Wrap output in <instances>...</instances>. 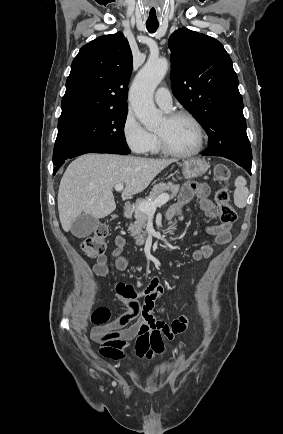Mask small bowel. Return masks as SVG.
Wrapping results in <instances>:
<instances>
[{
  "label": "small bowel",
  "mask_w": 283,
  "mask_h": 434,
  "mask_svg": "<svg viewBox=\"0 0 283 434\" xmlns=\"http://www.w3.org/2000/svg\"><path fill=\"white\" fill-rule=\"evenodd\" d=\"M209 193L210 189L205 183L185 184L178 200L169 209L168 218L180 217L193 198H198L199 206L206 216L212 220L216 219L218 210L209 199ZM206 232L219 245H225L231 240V224L208 225ZM125 244L126 240L123 236H116L112 256L115 258L114 266L117 271H125L128 267V260L123 253ZM212 253V246L204 243L192 252V257L196 261H201L210 258ZM93 272L100 277L110 274L106 255L97 258ZM112 288L119 299L126 304L127 311L115 320L92 329L91 336L101 344L100 354L104 357L115 360L125 358L132 341L138 358L152 359L154 356H162L165 351L163 339L172 340L186 329L189 321L186 317H180L168 325L153 313L155 302L164 291L157 278L152 279L142 291H137L131 285L119 280L112 282ZM140 297H143L142 303L139 302Z\"/></svg>",
  "instance_id": "c3829d8e"
}]
</instances>
